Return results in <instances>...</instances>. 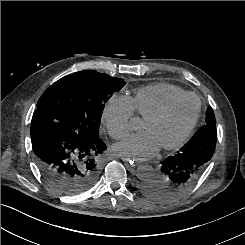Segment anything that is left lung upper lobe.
<instances>
[{"instance_id":"1","label":"left lung upper lobe","mask_w":245,"mask_h":245,"mask_svg":"<svg viewBox=\"0 0 245 245\" xmlns=\"http://www.w3.org/2000/svg\"><path fill=\"white\" fill-rule=\"evenodd\" d=\"M205 125L216 126L214 111L211 106L208 107L206 111V122Z\"/></svg>"}]
</instances>
